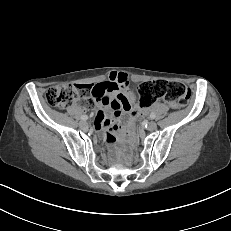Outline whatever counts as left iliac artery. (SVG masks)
I'll return each mask as SVG.
<instances>
[{
  "label": "left iliac artery",
  "mask_w": 231,
  "mask_h": 231,
  "mask_svg": "<svg viewBox=\"0 0 231 231\" xmlns=\"http://www.w3.org/2000/svg\"><path fill=\"white\" fill-rule=\"evenodd\" d=\"M150 118H151V119H154V118H155V114H154V113H151V114H150Z\"/></svg>",
  "instance_id": "1"
}]
</instances>
